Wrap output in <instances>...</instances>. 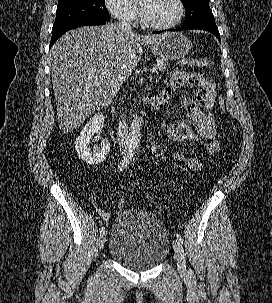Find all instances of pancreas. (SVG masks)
<instances>
[{"instance_id": "cf45deb5", "label": "pancreas", "mask_w": 272, "mask_h": 303, "mask_svg": "<svg viewBox=\"0 0 272 303\" xmlns=\"http://www.w3.org/2000/svg\"><path fill=\"white\" fill-rule=\"evenodd\" d=\"M154 67L157 71L163 72L167 67V63L163 59H158Z\"/></svg>"}]
</instances>
